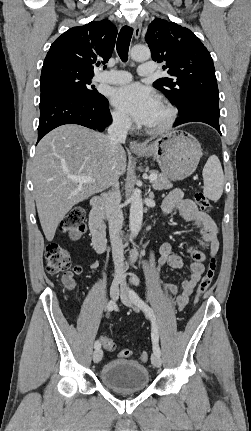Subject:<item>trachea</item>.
<instances>
[{
    "label": "trachea",
    "instance_id": "1",
    "mask_svg": "<svg viewBox=\"0 0 251 431\" xmlns=\"http://www.w3.org/2000/svg\"><path fill=\"white\" fill-rule=\"evenodd\" d=\"M133 34V28L130 26H124L121 28L118 40H117V53L123 62L128 60V50L130 46L131 37Z\"/></svg>",
    "mask_w": 251,
    "mask_h": 431
}]
</instances>
